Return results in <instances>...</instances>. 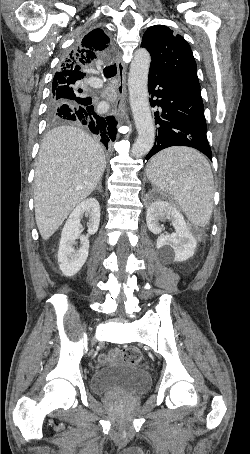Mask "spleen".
Instances as JSON below:
<instances>
[{
	"instance_id": "obj_1",
	"label": "spleen",
	"mask_w": 250,
	"mask_h": 454,
	"mask_svg": "<svg viewBox=\"0 0 250 454\" xmlns=\"http://www.w3.org/2000/svg\"><path fill=\"white\" fill-rule=\"evenodd\" d=\"M146 173L154 186L174 197L191 223L200 227L209 223L214 180L201 153L188 147L165 149L150 160Z\"/></svg>"
}]
</instances>
